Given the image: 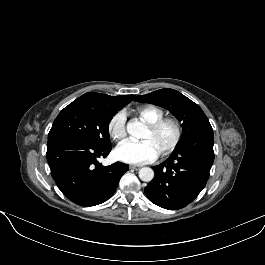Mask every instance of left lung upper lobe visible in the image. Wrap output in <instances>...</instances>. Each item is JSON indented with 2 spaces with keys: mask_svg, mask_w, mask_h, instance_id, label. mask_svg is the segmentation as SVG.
Segmentation results:
<instances>
[{
  "mask_svg": "<svg viewBox=\"0 0 265 265\" xmlns=\"http://www.w3.org/2000/svg\"><path fill=\"white\" fill-rule=\"evenodd\" d=\"M135 101L161 106L183 122V133L177 145L200 131L212 129L202 109L176 90H157L147 95H139L135 98Z\"/></svg>",
  "mask_w": 265,
  "mask_h": 265,
  "instance_id": "1",
  "label": "left lung upper lobe"
}]
</instances>
